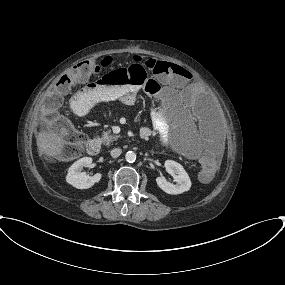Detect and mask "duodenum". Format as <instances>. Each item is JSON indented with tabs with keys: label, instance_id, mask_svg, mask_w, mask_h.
I'll return each instance as SVG.
<instances>
[{
	"label": "duodenum",
	"instance_id": "obj_1",
	"mask_svg": "<svg viewBox=\"0 0 285 285\" xmlns=\"http://www.w3.org/2000/svg\"><path fill=\"white\" fill-rule=\"evenodd\" d=\"M101 150V141L93 138L87 144V151L91 155H97Z\"/></svg>",
	"mask_w": 285,
	"mask_h": 285
}]
</instances>
